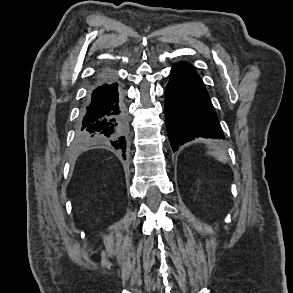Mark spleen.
<instances>
[{"instance_id": "obj_1", "label": "spleen", "mask_w": 293, "mask_h": 293, "mask_svg": "<svg viewBox=\"0 0 293 293\" xmlns=\"http://www.w3.org/2000/svg\"><path fill=\"white\" fill-rule=\"evenodd\" d=\"M209 155L215 157L218 161L222 162V163H227L228 161V157L226 152L221 149L220 147H216V146H209Z\"/></svg>"}]
</instances>
